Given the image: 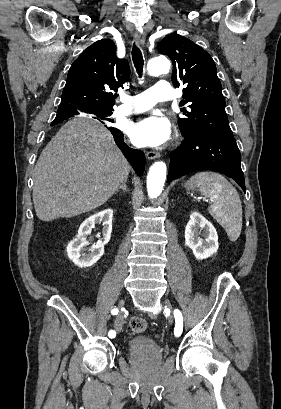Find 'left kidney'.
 <instances>
[{
  "instance_id": "5707ae66",
  "label": "left kidney",
  "mask_w": 281,
  "mask_h": 409,
  "mask_svg": "<svg viewBox=\"0 0 281 409\" xmlns=\"http://www.w3.org/2000/svg\"><path fill=\"white\" fill-rule=\"evenodd\" d=\"M185 245L192 249L196 259H208L218 251L216 229L203 215H200L199 211H191L190 219L185 227Z\"/></svg>"
}]
</instances>
